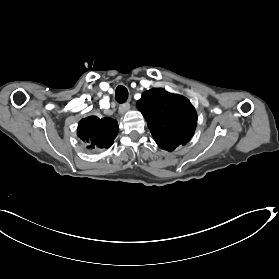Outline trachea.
Masks as SVG:
<instances>
[{
    "label": "trachea",
    "mask_w": 279,
    "mask_h": 279,
    "mask_svg": "<svg viewBox=\"0 0 279 279\" xmlns=\"http://www.w3.org/2000/svg\"><path fill=\"white\" fill-rule=\"evenodd\" d=\"M128 98V90L120 85L116 88L115 99L119 103H124Z\"/></svg>",
    "instance_id": "1"
}]
</instances>
